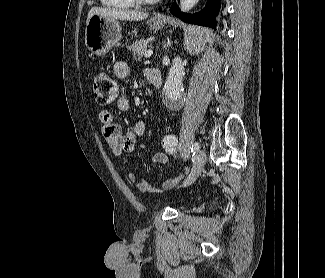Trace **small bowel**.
I'll use <instances>...</instances> for the list:
<instances>
[{"mask_svg": "<svg viewBox=\"0 0 325 278\" xmlns=\"http://www.w3.org/2000/svg\"><path fill=\"white\" fill-rule=\"evenodd\" d=\"M115 75L119 78H127L130 74V67L125 61H118L114 65ZM117 108L121 112H127L130 110L129 100L121 96L117 100ZM101 122L102 134L105 140L115 155H120L123 152H132L138 143V141L144 136L146 131V123L144 120L139 119L133 128L127 133L122 132L120 125L113 121V116L107 111H102L99 115ZM168 155L164 153H158L154 155L150 162L152 164L165 163L168 161ZM188 173V170H184L174 179H170L163 184L164 188H169L176 185L181 181L184 176ZM127 181L131 183L137 182L136 175L133 172H128L126 174ZM137 187L141 191L157 192L158 190L152 188L145 180H140L137 182Z\"/></svg>", "mask_w": 325, "mask_h": 278, "instance_id": "small-bowel-1", "label": "small bowel"}]
</instances>
